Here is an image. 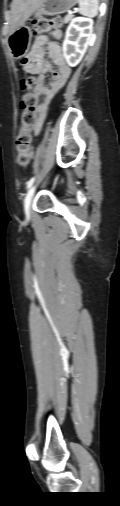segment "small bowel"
<instances>
[{
  "mask_svg": "<svg viewBox=\"0 0 120 506\" xmlns=\"http://www.w3.org/2000/svg\"><path fill=\"white\" fill-rule=\"evenodd\" d=\"M52 36L57 39L60 37V32L55 31ZM46 55L57 65V69H53L51 64L44 60ZM29 61L27 68L35 76L33 91L36 95L44 97V101L36 105L35 108L37 121L33 132L37 135L43 126L50 101L67 82L71 69L64 62L59 44L55 41H46L44 37L36 38L29 54ZM49 71L52 73V81L48 85H44L45 76Z\"/></svg>",
  "mask_w": 120,
  "mask_h": 506,
  "instance_id": "obj_1",
  "label": "small bowel"
}]
</instances>
